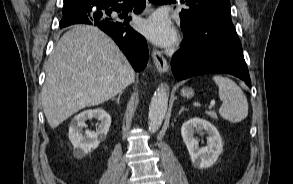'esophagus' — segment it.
Segmentation results:
<instances>
[{"instance_id": "esophagus-1", "label": "esophagus", "mask_w": 293, "mask_h": 184, "mask_svg": "<svg viewBox=\"0 0 293 184\" xmlns=\"http://www.w3.org/2000/svg\"><path fill=\"white\" fill-rule=\"evenodd\" d=\"M151 56L156 69L160 73H167L169 70V66L163 54L159 50L153 48Z\"/></svg>"}]
</instances>
